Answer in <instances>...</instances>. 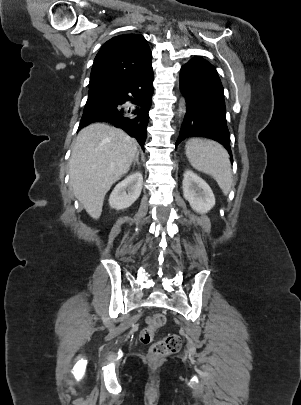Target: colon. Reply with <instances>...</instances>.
I'll use <instances>...</instances> for the list:
<instances>
[{
  "label": "colon",
  "instance_id": "1",
  "mask_svg": "<svg viewBox=\"0 0 301 405\" xmlns=\"http://www.w3.org/2000/svg\"><path fill=\"white\" fill-rule=\"evenodd\" d=\"M147 327L140 333V342L150 345L148 357L151 362H158L164 357L177 353L181 348V339L176 334H168L161 340L152 343L154 332L165 323L162 314H153L147 318Z\"/></svg>",
  "mask_w": 301,
  "mask_h": 405
}]
</instances>
